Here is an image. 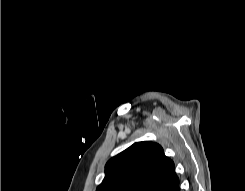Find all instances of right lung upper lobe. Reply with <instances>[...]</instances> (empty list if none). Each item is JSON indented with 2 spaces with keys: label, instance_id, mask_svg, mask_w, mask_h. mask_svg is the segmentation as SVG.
Here are the masks:
<instances>
[{
  "label": "right lung upper lobe",
  "instance_id": "1",
  "mask_svg": "<svg viewBox=\"0 0 245 191\" xmlns=\"http://www.w3.org/2000/svg\"><path fill=\"white\" fill-rule=\"evenodd\" d=\"M179 179L173 161L154 142H136L110 159L96 191H174Z\"/></svg>",
  "mask_w": 245,
  "mask_h": 191
}]
</instances>
